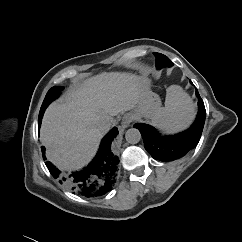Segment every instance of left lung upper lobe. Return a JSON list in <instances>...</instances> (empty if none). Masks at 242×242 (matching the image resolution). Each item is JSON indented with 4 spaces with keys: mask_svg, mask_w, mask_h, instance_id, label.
<instances>
[{
    "mask_svg": "<svg viewBox=\"0 0 242 242\" xmlns=\"http://www.w3.org/2000/svg\"><path fill=\"white\" fill-rule=\"evenodd\" d=\"M154 55L156 56V66L158 69L164 67V66H172L173 63L172 61L167 58L166 56L162 55V54H159V53H154Z\"/></svg>",
    "mask_w": 242,
    "mask_h": 242,
    "instance_id": "5c2ea615",
    "label": "left lung upper lobe"
}]
</instances>
